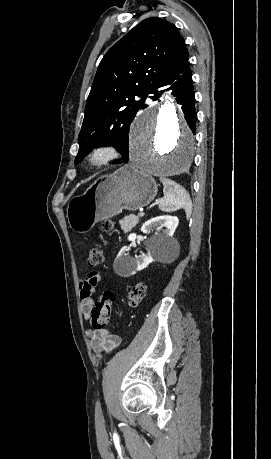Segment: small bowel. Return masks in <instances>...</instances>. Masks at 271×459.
Segmentation results:
<instances>
[{
	"label": "small bowel",
	"mask_w": 271,
	"mask_h": 459,
	"mask_svg": "<svg viewBox=\"0 0 271 459\" xmlns=\"http://www.w3.org/2000/svg\"><path fill=\"white\" fill-rule=\"evenodd\" d=\"M101 282H103V277L98 272L89 273L80 282L81 310L86 319H89L91 310L94 306L92 296L95 288ZM87 335L93 351L99 355L112 352L121 343L120 337L110 333L107 329H88Z\"/></svg>",
	"instance_id": "obj_1"
}]
</instances>
